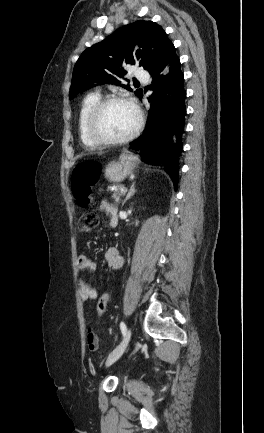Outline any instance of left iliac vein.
Masks as SVG:
<instances>
[{"mask_svg": "<svg viewBox=\"0 0 264 433\" xmlns=\"http://www.w3.org/2000/svg\"><path fill=\"white\" fill-rule=\"evenodd\" d=\"M130 338H131V329L128 328L126 330V333L124 335V338H123L121 344L107 358V360H106V366L107 367L112 365L114 362H116L122 356V354L125 352V350L128 346Z\"/></svg>", "mask_w": 264, "mask_h": 433, "instance_id": "left-iliac-vein-1", "label": "left iliac vein"}]
</instances>
